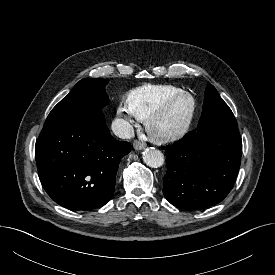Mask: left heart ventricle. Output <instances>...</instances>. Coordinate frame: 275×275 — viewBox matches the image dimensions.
<instances>
[{"label":"left heart ventricle","instance_id":"1","mask_svg":"<svg viewBox=\"0 0 275 275\" xmlns=\"http://www.w3.org/2000/svg\"><path fill=\"white\" fill-rule=\"evenodd\" d=\"M189 108L186 99L177 101L156 123L158 131H168L178 127L184 120Z\"/></svg>","mask_w":275,"mask_h":275}]
</instances>
